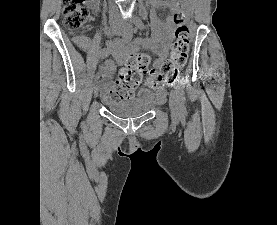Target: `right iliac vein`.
Wrapping results in <instances>:
<instances>
[{"label":"right iliac vein","mask_w":277,"mask_h":225,"mask_svg":"<svg viewBox=\"0 0 277 225\" xmlns=\"http://www.w3.org/2000/svg\"><path fill=\"white\" fill-rule=\"evenodd\" d=\"M112 33H113L114 35L120 36V35H122V34L124 33V30L121 29V28H113V29H112ZM93 94H94V97H97V95H98V88H97V87H95V88L93 89Z\"/></svg>","instance_id":"1"}]
</instances>
